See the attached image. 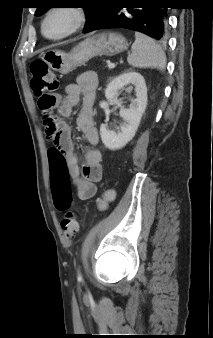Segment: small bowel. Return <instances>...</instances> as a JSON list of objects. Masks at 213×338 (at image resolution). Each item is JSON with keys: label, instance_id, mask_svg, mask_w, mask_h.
Returning a JSON list of instances; mask_svg holds the SVG:
<instances>
[{"label": "small bowel", "instance_id": "1", "mask_svg": "<svg viewBox=\"0 0 213 338\" xmlns=\"http://www.w3.org/2000/svg\"><path fill=\"white\" fill-rule=\"evenodd\" d=\"M97 87L96 74L87 71L78 77L76 83L65 87L63 96H58L59 114L66 119L71 118L73 109L82 99V107L76 124L90 145H96L99 141V133L92 117V103ZM56 126L61 134V139L48 151L51 172L54 176H62L63 174L70 176L73 179L77 197L80 200L91 199L97 192L95 183L99 182L103 175L101 154L96 149H87L84 152V165L81 171L78 153L71 137V128L64 120L56 122ZM46 133L49 138H53L48 127H46Z\"/></svg>", "mask_w": 213, "mask_h": 338}]
</instances>
